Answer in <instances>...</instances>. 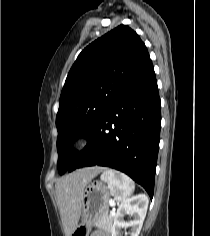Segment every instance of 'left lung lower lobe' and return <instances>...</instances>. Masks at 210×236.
<instances>
[{"mask_svg": "<svg viewBox=\"0 0 210 236\" xmlns=\"http://www.w3.org/2000/svg\"><path fill=\"white\" fill-rule=\"evenodd\" d=\"M160 128V98L150 61L115 97L67 171L111 167L142 185L152 198Z\"/></svg>", "mask_w": 210, "mask_h": 236, "instance_id": "obj_1", "label": "left lung lower lobe"}]
</instances>
